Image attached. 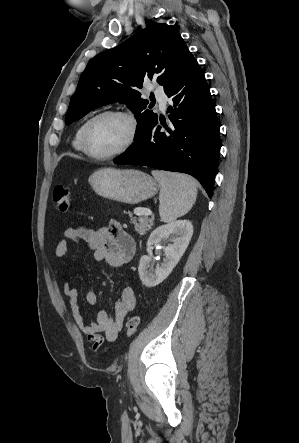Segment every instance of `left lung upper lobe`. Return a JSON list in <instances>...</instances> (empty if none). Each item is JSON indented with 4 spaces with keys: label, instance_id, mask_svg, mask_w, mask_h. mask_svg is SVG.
I'll list each match as a JSON object with an SVG mask.
<instances>
[{
    "label": "left lung upper lobe",
    "instance_id": "5c2ea615",
    "mask_svg": "<svg viewBox=\"0 0 299 443\" xmlns=\"http://www.w3.org/2000/svg\"><path fill=\"white\" fill-rule=\"evenodd\" d=\"M196 63L178 31L167 24L151 23L89 61L70 100L65 123L118 101L135 114L136 140L158 117L147 110L149 102L137 90L143 81L155 79L167 91Z\"/></svg>",
    "mask_w": 299,
    "mask_h": 443
}]
</instances>
